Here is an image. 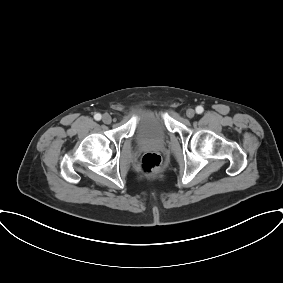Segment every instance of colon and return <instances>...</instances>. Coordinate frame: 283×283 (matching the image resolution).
<instances>
[{
    "label": "colon",
    "instance_id": "obj_1",
    "mask_svg": "<svg viewBox=\"0 0 283 283\" xmlns=\"http://www.w3.org/2000/svg\"><path fill=\"white\" fill-rule=\"evenodd\" d=\"M161 157L154 152L144 153L139 161L141 170L147 174L157 173L161 168Z\"/></svg>",
    "mask_w": 283,
    "mask_h": 283
}]
</instances>
